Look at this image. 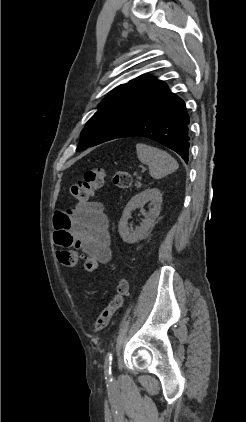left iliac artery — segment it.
Here are the masks:
<instances>
[{"label":"left iliac artery","mask_w":246,"mask_h":422,"mask_svg":"<svg viewBox=\"0 0 246 422\" xmlns=\"http://www.w3.org/2000/svg\"><path fill=\"white\" fill-rule=\"evenodd\" d=\"M112 353L109 352L106 355L105 358V363H104V373H105V377L109 382H112L113 378H112Z\"/></svg>","instance_id":"left-iliac-artery-1"}]
</instances>
